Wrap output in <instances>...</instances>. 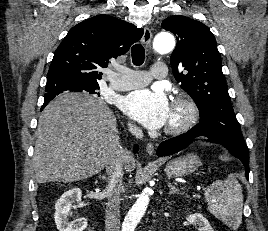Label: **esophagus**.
Returning <instances> with one entry per match:
<instances>
[{
	"label": "esophagus",
	"mask_w": 268,
	"mask_h": 231,
	"mask_svg": "<svg viewBox=\"0 0 268 231\" xmlns=\"http://www.w3.org/2000/svg\"><path fill=\"white\" fill-rule=\"evenodd\" d=\"M151 41H152V33L150 31L149 28L145 27L144 28V32H143V36H142V42L146 45V46H150L151 45ZM154 145L152 143H147L146 147H145V152L147 155H153L154 154Z\"/></svg>",
	"instance_id": "1"
}]
</instances>
